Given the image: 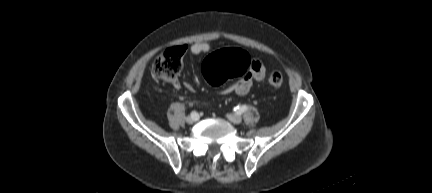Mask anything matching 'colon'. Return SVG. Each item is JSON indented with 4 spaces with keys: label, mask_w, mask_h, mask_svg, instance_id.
<instances>
[{
    "label": "colon",
    "mask_w": 432,
    "mask_h": 193,
    "mask_svg": "<svg viewBox=\"0 0 432 193\" xmlns=\"http://www.w3.org/2000/svg\"><path fill=\"white\" fill-rule=\"evenodd\" d=\"M183 49L170 48L158 55L151 66V72L157 78L174 83L182 69ZM252 66V58L244 50L229 48L211 54L203 63V73L211 85H220L228 79L241 77ZM283 75L273 71L268 76V83L272 87L283 84Z\"/></svg>",
    "instance_id": "obj_1"
}]
</instances>
